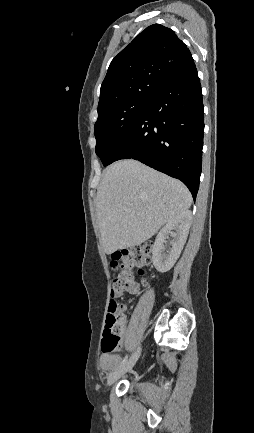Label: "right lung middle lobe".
Segmentation results:
<instances>
[{
  "label": "right lung middle lobe",
  "instance_id": "right-lung-middle-lobe-1",
  "mask_svg": "<svg viewBox=\"0 0 254 433\" xmlns=\"http://www.w3.org/2000/svg\"><path fill=\"white\" fill-rule=\"evenodd\" d=\"M150 99H128L98 110L95 123L96 154L104 166L109 165L113 152L134 125Z\"/></svg>",
  "mask_w": 254,
  "mask_h": 433
}]
</instances>
